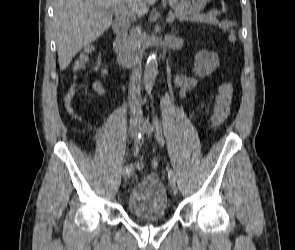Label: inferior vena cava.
<instances>
[{
	"instance_id": "1",
	"label": "inferior vena cava",
	"mask_w": 295,
	"mask_h": 250,
	"mask_svg": "<svg viewBox=\"0 0 295 250\" xmlns=\"http://www.w3.org/2000/svg\"><path fill=\"white\" fill-rule=\"evenodd\" d=\"M144 51L143 31L140 26L133 27L129 37V54L132 74L129 82V105L133 116L142 115L141 108V59Z\"/></svg>"
}]
</instances>
